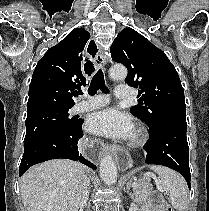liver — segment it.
Returning a JSON list of instances; mask_svg holds the SVG:
<instances>
[{
  "instance_id": "1",
  "label": "liver",
  "mask_w": 209,
  "mask_h": 211,
  "mask_svg": "<svg viewBox=\"0 0 209 211\" xmlns=\"http://www.w3.org/2000/svg\"><path fill=\"white\" fill-rule=\"evenodd\" d=\"M87 176L78 162L54 159L31 167L21 178L27 211H78Z\"/></svg>"
}]
</instances>
